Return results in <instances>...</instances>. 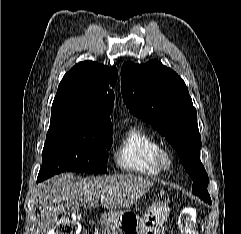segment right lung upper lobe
<instances>
[{
    "mask_svg": "<svg viewBox=\"0 0 241 234\" xmlns=\"http://www.w3.org/2000/svg\"><path fill=\"white\" fill-rule=\"evenodd\" d=\"M117 77L115 67L92 61L76 64L61 80L51 112L71 113L81 124L112 126L114 93L110 87Z\"/></svg>",
    "mask_w": 241,
    "mask_h": 234,
    "instance_id": "obj_1",
    "label": "right lung upper lobe"
}]
</instances>
